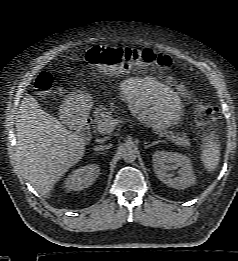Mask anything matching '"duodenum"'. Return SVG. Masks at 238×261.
I'll return each mask as SVG.
<instances>
[{"mask_svg":"<svg viewBox=\"0 0 238 261\" xmlns=\"http://www.w3.org/2000/svg\"><path fill=\"white\" fill-rule=\"evenodd\" d=\"M69 122L77 128L82 136H85L90 124L91 118L85 114H73L68 118Z\"/></svg>","mask_w":238,"mask_h":261,"instance_id":"1","label":"duodenum"}]
</instances>
